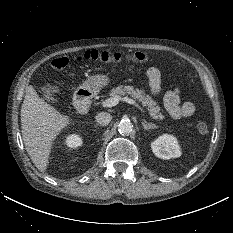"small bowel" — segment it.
<instances>
[{"label": "small bowel", "mask_w": 233, "mask_h": 233, "mask_svg": "<svg viewBox=\"0 0 233 233\" xmlns=\"http://www.w3.org/2000/svg\"><path fill=\"white\" fill-rule=\"evenodd\" d=\"M145 80L151 93L153 95L159 94L161 90L160 71L155 67L149 68L146 72ZM164 105L168 113L175 119L190 117L195 112V105L188 100H182L178 88H173L166 92Z\"/></svg>", "instance_id": "1"}]
</instances>
